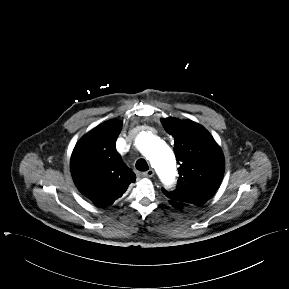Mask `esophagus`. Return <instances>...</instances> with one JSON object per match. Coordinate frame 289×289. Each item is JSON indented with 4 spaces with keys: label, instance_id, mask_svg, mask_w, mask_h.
I'll return each instance as SVG.
<instances>
[{
    "label": "esophagus",
    "instance_id": "obj_1",
    "mask_svg": "<svg viewBox=\"0 0 289 289\" xmlns=\"http://www.w3.org/2000/svg\"><path fill=\"white\" fill-rule=\"evenodd\" d=\"M154 173H155V172H154L153 169H149V170H147L146 172H143L142 175H143L144 177L150 178V177H153Z\"/></svg>",
    "mask_w": 289,
    "mask_h": 289
}]
</instances>
